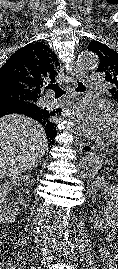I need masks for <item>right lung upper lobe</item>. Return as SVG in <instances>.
<instances>
[{
    "label": "right lung upper lobe",
    "mask_w": 118,
    "mask_h": 269,
    "mask_svg": "<svg viewBox=\"0 0 118 269\" xmlns=\"http://www.w3.org/2000/svg\"><path fill=\"white\" fill-rule=\"evenodd\" d=\"M58 60L45 44L30 43L9 57L0 68V101L16 100L35 107L31 118L41 123L48 139L56 130L51 122L55 110L38 105L48 82H55Z\"/></svg>",
    "instance_id": "cb5924a9"
}]
</instances>
